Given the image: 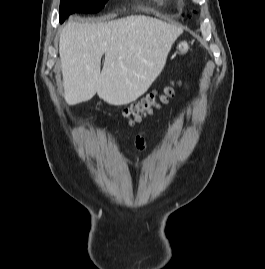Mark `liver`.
<instances>
[{
  "mask_svg": "<svg viewBox=\"0 0 265 269\" xmlns=\"http://www.w3.org/2000/svg\"><path fill=\"white\" fill-rule=\"evenodd\" d=\"M182 32L144 15L92 24L69 21L59 40L66 102L75 105L96 93L114 106L137 100L162 72Z\"/></svg>",
  "mask_w": 265,
  "mask_h": 269,
  "instance_id": "1",
  "label": "liver"
}]
</instances>
